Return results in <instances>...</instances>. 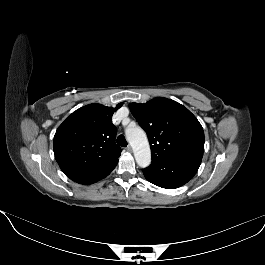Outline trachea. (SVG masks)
<instances>
[{
	"instance_id": "3493384b",
	"label": "trachea",
	"mask_w": 265,
	"mask_h": 265,
	"mask_svg": "<svg viewBox=\"0 0 265 265\" xmlns=\"http://www.w3.org/2000/svg\"><path fill=\"white\" fill-rule=\"evenodd\" d=\"M117 144L121 147L127 146V141L123 135H119L116 140Z\"/></svg>"
}]
</instances>
